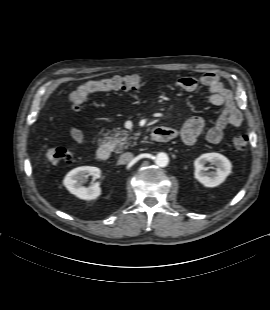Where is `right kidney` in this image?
Returning <instances> with one entry per match:
<instances>
[{
    "instance_id": "right-kidney-1",
    "label": "right kidney",
    "mask_w": 270,
    "mask_h": 310,
    "mask_svg": "<svg viewBox=\"0 0 270 310\" xmlns=\"http://www.w3.org/2000/svg\"><path fill=\"white\" fill-rule=\"evenodd\" d=\"M90 175L95 178L100 177V169L92 166L77 167L65 176L63 180L64 186L70 193L83 200H94L101 194L99 183H95L89 187L82 185L84 179Z\"/></svg>"
}]
</instances>
